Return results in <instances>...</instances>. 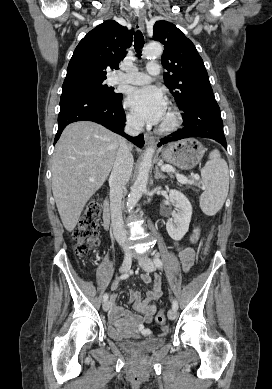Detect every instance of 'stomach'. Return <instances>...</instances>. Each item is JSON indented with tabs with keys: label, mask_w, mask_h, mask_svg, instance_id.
Segmentation results:
<instances>
[{
	"label": "stomach",
	"mask_w": 272,
	"mask_h": 389,
	"mask_svg": "<svg viewBox=\"0 0 272 389\" xmlns=\"http://www.w3.org/2000/svg\"><path fill=\"white\" fill-rule=\"evenodd\" d=\"M205 153L203 145L194 138L182 139L169 144L161 150L164 161L183 170L194 168Z\"/></svg>",
	"instance_id": "1"
}]
</instances>
